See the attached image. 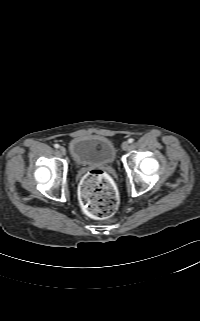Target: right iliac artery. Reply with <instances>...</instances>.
Returning a JSON list of instances; mask_svg holds the SVG:
<instances>
[{"mask_svg":"<svg viewBox=\"0 0 200 321\" xmlns=\"http://www.w3.org/2000/svg\"><path fill=\"white\" fill-rule=\"evenodd\" d=\"M54 147H55V148H59L60 145H59V144H55Z\"/></svg>","mask_w":200,"mask_h":321,"instance_id":"right-iliac-artery-1","label":"right iliac artery"}]
</instances>
